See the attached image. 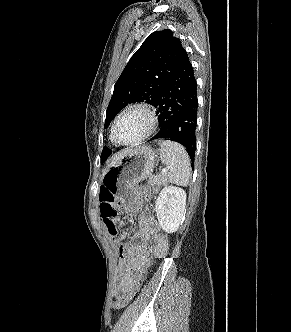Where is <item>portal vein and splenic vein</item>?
I'll return each mask as SVG.
<instances>
[{"mask_svg":"<svg viewBox=\"0 0 291 332\" xmlns=\"http://www.w3.org/2000/svg\"><path fill=\"white\" fill-rule=\"evenodd\" d=\"M167 170H168L167 168H163V169L161 170V173L164 174V173L167 172Z\"/></svg>","mask_w":291,"mask_h":332,"instance_id":"18ae733b","label":"portal vein and splenic vein"}]
</instances>
